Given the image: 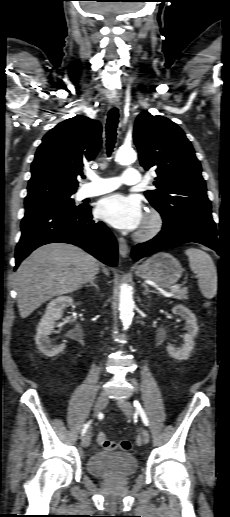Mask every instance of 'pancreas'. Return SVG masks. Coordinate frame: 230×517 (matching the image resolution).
I'll return each instance as SVG.
<instances>
[{
	"label": "pancreas",
	"instance_id": "1",
	"mask_svg": "<svg viewBox=\"0 0 230 517\" xmlns=\"http://www.w3.org/2000/svg\"><path fill=\"white\" fill-rule=\"evenodd\" d=\"M187 294H188L187 288H182L174 293L173 298L178 299V300H185V299H188Z\"/></svg>",
	"mask_w": 230,
	"mask_h": 517
}]
</instances>
